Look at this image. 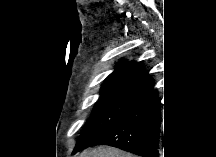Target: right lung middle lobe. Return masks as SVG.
Returning a JSON list of instances; mask_svg holds the SVG:
<instances>
[{
    "label": "right lung middle lobe",
    "mask_w": 216,
    "mask_h": 157,
    "mask_svg": "<svg viewBox=\"0 0 216 157\" xmlns=\"http://www.w3.org/2000/svg\"><path fill=\"white\" fill-rule=\"evenodd\" d=\"M135 93L125 90L100 96L93 108L92 115L84 126L74 151L93 145L96 140L111 130L124 115Z\"/></svg>",
    "instance_id": "obj_1"
}]
</instances>
